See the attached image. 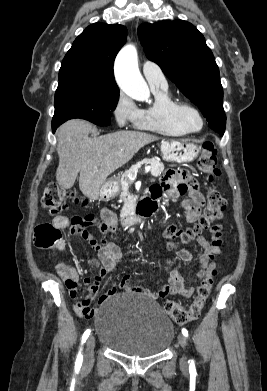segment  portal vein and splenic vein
I'll return each mask as SVG.
<instances>
[{
    "mask_svg": "<svg viewBox=\"0 0 267 391\" xmlns=\"http://www.w3.org/2000/svg\"><path fill=\"white\" fill-rule=\"evenodd\" d=\"M150 169H151V167H150V166L146 167V168H145V170H144V173H147V172H149V171H150ZM128 177H129V179H130V180H132V181H133V180H135V179H136V174H134V175H132V174H129V175H128Z\"/></svg>",
    "mask_w": 267,
    "mask_h": 391,
    "instance_id": "portal-vein-and-splenic-vein-1",
    "label": "portal vein and splenic vein"
}]
</instances>
